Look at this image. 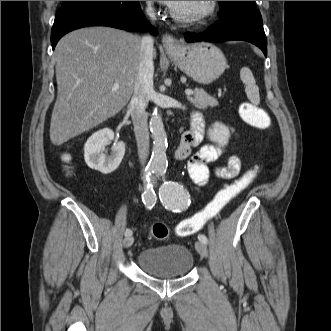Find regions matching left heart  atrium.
<instances>
[{
    "label": "left heart atrium",
    "instance_id": "1",
    "mask_svg": "<svg viewBox=\"0 0 331 331\" xmlns=\"http://www.w3.org/2000/svg\"><path fill=\"white\" fill-rule=\"evenodd\" d=\"M160 2H162L166 5H169L171 7H174L177 4L178 1H160Z\"/></svg>",
    "mask_w": 331,
    "mask_h": 331
}]
</instances>
